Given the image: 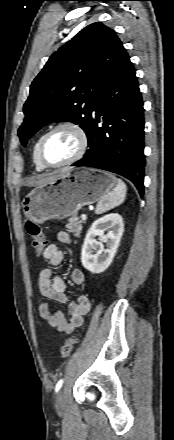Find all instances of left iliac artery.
Returning a JSON list of instances; mask_svg holds the SVG:
<instances>
[{"mask_svg":"<svg viewBox=\"0 0 174 440\" xmlns=\"http://www.w3.org/2000/svg\"><path fill=\"white\" fill-rule=\"evenodd\" d=\"M62 384H63V379H60L55 386V392H58L60 390Z\"/></svg>","mask_w":174,"mask_h":440,"instance_id":"left-iliac-artery-1","label":"left iliac artery"}]
</instances>
